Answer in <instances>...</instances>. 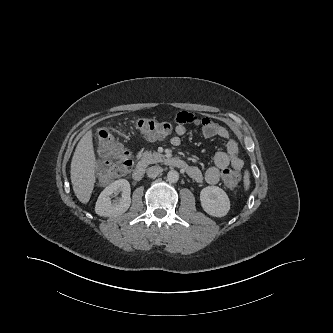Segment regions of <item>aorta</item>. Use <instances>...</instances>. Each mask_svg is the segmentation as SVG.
Segmentation results:
<instances>
[{
	"instance_id": "1",
	"label": "aorta",
	"mask_w": 333,
	"mask_h": 333,
	"mask_svg": "<svg viewBox=\"0 0 333 333\" xmlns=\"http://www.w3.org/2000/svg\"><path fill=\"white\" fill-rule=\"evenodd\" d=\"M167 180L170 183H176L179 180V173L175 170H171L167 174Z\"/></svg>"
}]
</instances>
